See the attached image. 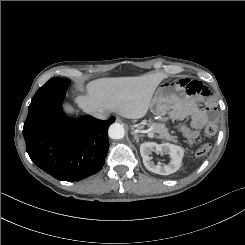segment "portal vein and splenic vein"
I'll list each match as a JSON object with an SVG mask.
<instances>
[{
    "label": "portal vein and splenic vein",
    "mask_w": 245,
    "mask_h": 245,
    "mask_svg": "<svg viewBox=\"0 0 245 245\" xmlns=\"http://www.w3.org/2000/svg\"><path fill=\"white\" fill-rule=\"evenodd\" d=\"M148 137L154 138V134L152 133L151 129L147 130Z\"/></svg>",
    "instance_id": "18ae733b"
}]
</instances>
